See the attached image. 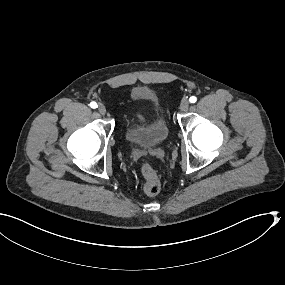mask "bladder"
Returning a JSON list of instances; mask_svg holds the SVG:
<instances>
[{
  "mask_svg": "<svg viewBox=\"0 0 285 285\" xmlns=\"http://www.w3.org/2000/svg\"><path fill=\"white\" fill-rule=\"evenodd\" d=\"M148 118L137 124L127 118V131L123 138L130 144L151 149L164 143L171 134V128L164 118L161 104L155 101L148 107Z\"/></svg>",
  "mask_w": 285,
  "mask_h": 285,
  "instance_id": "31cf9c89",
  "label": "bladder"
}]
</instances>
